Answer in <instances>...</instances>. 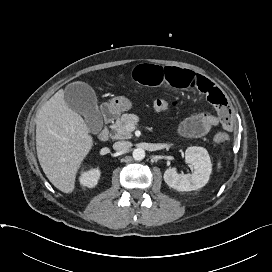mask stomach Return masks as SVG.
<instances>
[{"label":"stomach","mask_w":272,"mask_h":272,"mask_svg":"<svg viewBox=\"0 0 272 272\" xmlns=\"http://www.w3.org/2000/svg\"><path fill=\"white\" fill-rule=\"evenodd\" d=\"M109 109L113 111L114 113H121L124 111H128L132 108V102L122 96L114 97L110 102H109Z\"/></svg>","instance_id":"stomach-1"}]
</instances>
